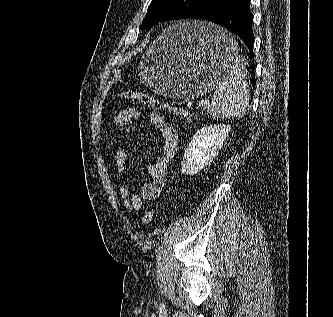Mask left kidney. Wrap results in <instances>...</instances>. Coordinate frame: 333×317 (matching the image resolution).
Instances as JSON below:
<instances>
[{"mask_svg": "<svg viewBox=\"0 0 333 317\" xmlns=\"http://www.w3.org/2000/svg\"><path fill=\"white\" fill-rule=\"evenodd\" d=\"M230 130L231 127L224 124L197 130L185 149L181 162L182 172L194 175L206 167L218 155Z\"/></svg>", "mask_w": 333, "mask_h": 317, "instance_id": "left-kidney-1", "label": "left kidney"}]
</instances>
